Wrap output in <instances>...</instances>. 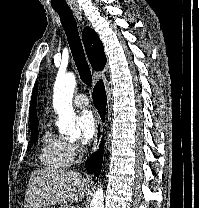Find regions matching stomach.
Listing matches in <instances>:
<instances>
[{"instance_id":"stomach-1","label":"stomach","mask_w":199,"mask_h":208,"mask_svg":"<svg viewBox=\"0 0 199 208\" xmlns=\"http://www.w3.org/2000/svg\"><path fill=\"white\" fill-rule=\"evenodd\" d=\"M38 208H50V207L47 205H40Z\"/></svg>"}]
</instances>
